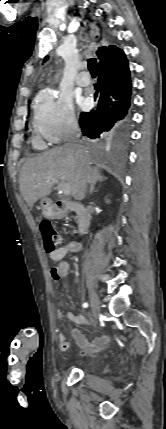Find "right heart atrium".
Returning a JSON list of instances; mask_svg holds the SVG:
<instances>
[{
  "label": "right heart atrium",
  "mask_w": 166,
  "mask_h": 429,
  "mask_svg": "<svg viewBox=\"0 0 166 429\" xmlns=\"http://www.w3.org/2000/svg\"><path fill=\"white\" fill-rule=\"evenodd\" d=\"M33 125L50 143L73 134L78 128V119L70 97L52 89L43 92L34 105Z\"/></svg>",
  "instance_id": "d8ad5b80"
}]
</instances>
